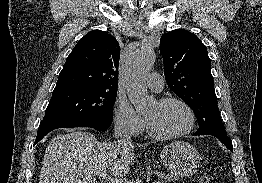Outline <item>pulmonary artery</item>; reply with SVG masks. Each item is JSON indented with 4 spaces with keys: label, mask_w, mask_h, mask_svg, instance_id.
I'll return each mask as SVG.
<instances>
[{
    "label": "pulmonary artery",
    "mask_w": 262,
    "mask_h": 183,
    "mask_svg": "<svg viewBox=\"0 0 262 183\" xmlns=\"http://www.w3.org/2000/svg\"><path fill=\"white\" fill-rule=\"evenodd\" d=\"M147 85L155 92H161L164 87V80L158 73H151L147 77Z\"/></svg>",
    "instance_id": "pulmonary-artery-1"
}]
</instances>
